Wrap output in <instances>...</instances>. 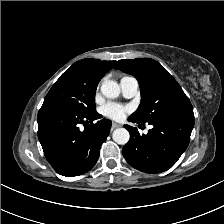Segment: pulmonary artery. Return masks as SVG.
<instances>
[{"label":"pulmonary artery","instance_id":"obj_1","mask_svg":"<svg viewBox=\"0 0 224 224\" xmlns=\"http://www.w3.org/2000/svg\"><path fill=\"white\" fill-rule=\"evenodd\" d=\"M120 87L124 97L132 98L137 94L138 82L134 77H123L120 81Z\"/></svg>","mask_w":224,"mask_h":224}]
</instances>
